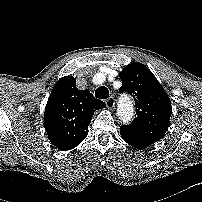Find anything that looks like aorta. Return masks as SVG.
<instances>
[{
  "label": "aorta",
  "instance_id": "1",
  "mask_svg": "<svg viewBox=\"0 0 202 202\" xmlns=\"http://www.w3.org/2000/svg\"><path fill=\"white\" fill-rule=\"evenodd\" d=\"M134 113L133 104L131 101H125V103H122L119 105L118 108V116L120 120L124 123H127L131 120Z\"/></svg>",
  "mask_w": 202,
  "mask_h": 202
}]
</instances>
